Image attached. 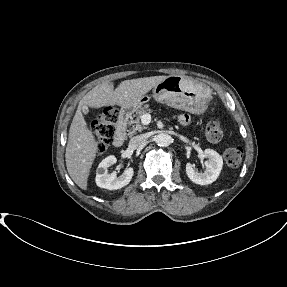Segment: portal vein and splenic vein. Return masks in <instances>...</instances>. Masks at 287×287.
<instances>
[{"label":"portal vein and splenic vein","instance_id":"obj_1","mask_svg":"<svg viewBox=\"0 0 287 287\" xmlns=\"http://www.w3.org/2000/svg\"><path fill=\"white\" fill-rule=\"evenodd\" d=\"M150 122H151V115L149 113L142 115L141 123L143 125H149Z\"/></svg>","mask_w":287,"mask_h":287}]
</instances>
